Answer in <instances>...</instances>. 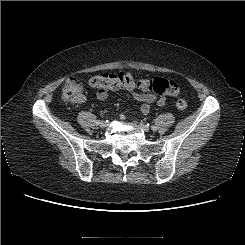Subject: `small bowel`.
Here are the masks:
<instances>
[{
    "mask_svg": "<svg viewBox=\"0 0 245 245\" xmlns=\"http://www.w3.org/2000/svg\"><path fill=\"white\" fill-rule=\"evenodd\" d=\"M132 97L141 102L140 111L143 115H148L150 112V107L152 104H156L157 106H164L166 102L165 97H157L155 94L147 92L145 90L138 91L136 88H125ZM109 96V93L106 91H97L96 97L99 100H106ZM127 116V110L123 111L120 115L121 119H125Z\"/></svg>",
    "mask_w": 245,
    "mask_h": 245,
    "instance_id": "1",
    "label": "small bowel"
}]
</instances>
